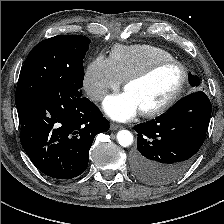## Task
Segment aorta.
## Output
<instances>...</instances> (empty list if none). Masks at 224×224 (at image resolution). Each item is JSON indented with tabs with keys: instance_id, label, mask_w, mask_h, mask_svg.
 I'll list each match as a JSON object with an SVG mask.
<instances>
[{
	"instance_id": "1",
	"label": "aorta",
	"mask_w": 224,
	"mask_h": 224,
	"mask_svg": "<svg viewBox=\"0 0 224 224\" xmlns=\"http://www.w3.org/2000/svg\"><path fill=\"white\" fill-rule=\"evenodd\" d=\"M117 141L123 147H128L133 143V135L128 130H120L117 133Z\"/></svg>"
}]
</instances>
